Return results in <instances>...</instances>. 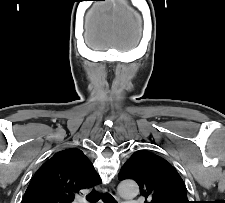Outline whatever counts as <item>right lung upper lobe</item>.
<instances>
[{"label": "right lung upper lobe", "instance_id": "cb5924a9", "mask_svg": "<svg viewBox=\"0 0 225 203\" xmlns=\"http://www.w3.org/2000/svg\"><path fill=\"white\" fill-rule=\"evenodd\" d=\"M100 182L93 164L81 150L65 149L35 173L22 203H71L76 193Z\"/></svg>", "mask_w": 225, "mask_h": 203}]
</instances>
